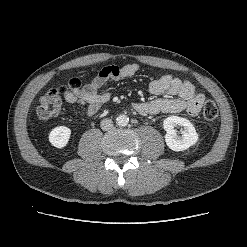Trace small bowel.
<instances>
[{"instance_id":"c3829d8e","label":"small bowel","mask_w":247,"mask_h":247,"mask_svg":"<svg viewBox=\"0 0 247 247\" xmlns=\"http://www.w3.org/2000/svg\"><path fill=\"white\" fill-rule=\"evenodd\" d=\"M139 69L138 64L104 67L96 77L82 88L66 90L64 93L65 101L71 105H88L87 113L89 116H93L110 99L109 92L100 93L101 87L110 80L119 81L133 76ZM148 89L154 95H167L168 97L134 103V110L141 115L187 111L190 115L196 116L199 114L205 99L204 95L198 92L191 82L170 74L153 80Z\"/></svg>"}]
</instances>
